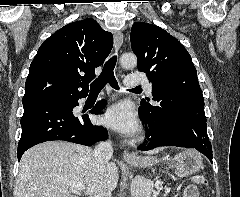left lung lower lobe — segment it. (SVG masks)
Listing matches in <instances>:
<instances>
[{
    "label": "left lung lower lobe",
    "mask_w": 240,
    "mask_h": 197,
    "mask_svg": "<svg viewBox=\"0 0 240 197\" xmlns=\"http://www.w3.org/2000/svg\"><path fill=\"white\" fill-rule=\"evenodd\" d=\"M143 123L149 125L146 133L150 143L140 150L161 146L195 148L212 162V147L207 135L204 98L182 94L170 105L156 106L151 112L139 108Z\"/></svg>",
    "instance_id": "left-lung-lower-lobe-1"
}]
</instances>
